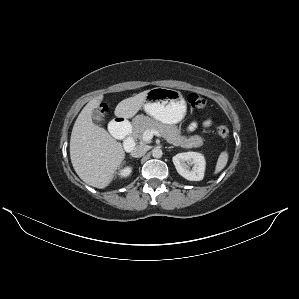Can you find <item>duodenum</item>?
<instances>
[{"instance_id": "1", "label": "duodenum", "mask_w": 299, "mask_h": 299, "mask_svg": "<svg viewBox=\"0 0 299 299\" xmlns=\"http://www.w3.org/2000/svg\"><path fill=\"white\" fill-rule=\"evenodd\" d=\"M110 130L117 133L126 132L127 136L123 144L125 151L131 152L132 150L135 149L136 147L135 140L132 136L129 125L127 124L124 118L122 117L116 118L115 121L111 123Z\"/></svg>"}]
</instances>
